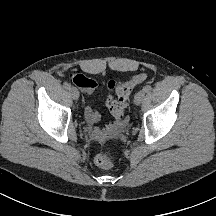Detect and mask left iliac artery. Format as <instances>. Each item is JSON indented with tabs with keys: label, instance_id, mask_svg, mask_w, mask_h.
Returning a JSON list of instances; mask_svg holds the SVG:
<instances>
[{
	"label": "left iliac artery",
	"instance_id": "1",
	"mask_svg": "<svg viewBox=\"0 0 216 216\" xmlns=\"http://www.w3.org/2000/svg\"><path fill=\"white\" fill-rule=\"evenodd\" d=\"M151 86H149V85H147V86H145L144 88H143V91L145 92V93H149L150 91H151Z\"/></svg>",
	"mask_w": 216,
	"mask_h": 216
}]
</instances>
